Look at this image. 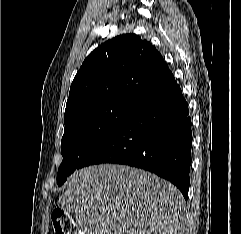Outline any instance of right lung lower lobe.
I'll return each instance as SVG.
<instances>
[{
  "label": "right lung lower lobe",
  "instance_id": "right-lung-lower-lobe-1",
  "mask_svg": "<svg viewBox=\"0 0 241 234\" xmlns=\"http://www.w3.org/2000/svg\"><path fill=\"white\" fill-rule=\"evenodd\" d=\"M191 118L173 74L136 102L80 168L100 163L138 167L169 180L188 198Z\"/></svg>",
  "mask_w": 241,
  "mask_h": 234
}]
</instances>
